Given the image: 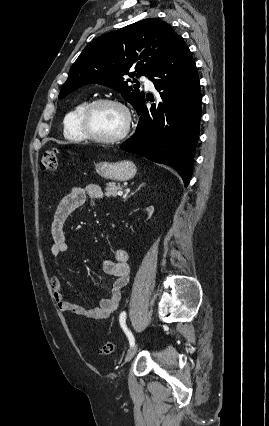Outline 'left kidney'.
<instances>
[{
  "mask_svg": "<svg viewBox=\"0 0 269 426\" xmlns=\"http://www.w3.org/2000/svg\"><path fill=\"white\" fill-rule=\"evenodd\" d=\"M147 213H148V219L151 218L153 212H154V206H149L147 209Z\"/></svg>",
  "mask_w": 269,
  "mask_h": 426,
  "instance_id": "left-kidney-1",
  "label": "left kidney"
}]
</instances>
